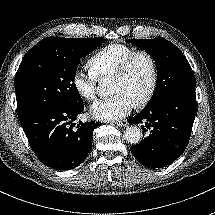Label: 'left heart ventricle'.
<instances>
[{
  "instance_id": "b2bd125f",
  "label": "left heart ventricle",
  "mask_w": 215,
  "mask_h": 215,
  "mask_svg": "<svg viewBox=\"0 0 215 215\" xmlns=\"http://www.w3.org/2000/svg\"><path fill=\"white\" fill-rule=\"evenodd\" d=\"M150 65L144 57L136 58L127 74L121 78L112 77L110 93H123L135 104L145 95L150 82Z\"/></svg>"
}]
</instances>
